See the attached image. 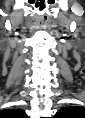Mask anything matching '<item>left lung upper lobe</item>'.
<instances>
[{
  "mask_svg": "<svg viewBox=\"0 0 85 118\" xmlns=\"http://www.w3.org/2000/svg\"><path fill=\"white\" fill-rule=\"evenodd\" d=\"M75 107H67V108H63L61 109V111L59 112V115L61 116H69L73 113V111L75 110Z\"/></svg>",
  "mask_w": 85,
  "mask_h": 118,
  "instance_id": "1",
  "label": "left lung upper lobe"
}]
</instances>
